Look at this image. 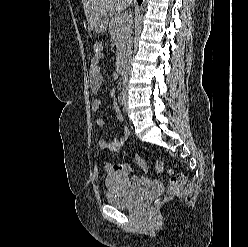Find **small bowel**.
I'll return each instance as SVG.
<instances>
[{
  "instance_id": "small-bowel-1",
  "label": "small bowel",
  "mask_w": 248,
  "mask_h": 247,
  "mask_svg": "<svg viewBox=\"0 0 248 247\" xmlns=\"http://www.w3.org/2000/svg\"><path fill=\"white\" fill-rule=\"evenodd\" d=\"M104 57L101 51H94L90 61H89V77H90V88L94 94H98L103 82V76L101 73L100 68V60ZM101 107V100L99 98H95L90 105L91 111L97 112ZM117 119L122 120V116L118 113ZM94 124L96 127L101 128L104 125V120L100 117H96L94 119ZM129 135L128 128L123 129V135L120 138H115L111 141H102L100 142V147L102 150L108 152H115L118 151L124 144L125 140ZM105 170L109 173L119 172L122 173L126 177V182L129 187H136L140 185L144 180L145 176L134 175L128 177L129 173L131 172V168L127 164H106Z\"/></svg>"
}]
</instances>
